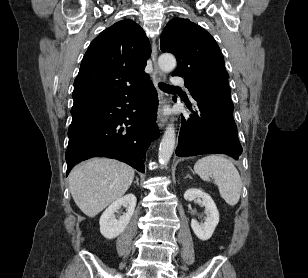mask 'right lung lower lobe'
Listing matches in <instances>:
<instances>
[{"label":"right lung lower lobe","instance_id":"obj_1","mask_svg":"<svg viewBox=\"0 0 308 278\" xmlns=\"http://www.w3.org/2000/svg\"><path fill=\"white\" fill-rule=\"evenodd\" d=\"M157 106V91L148 79L125 97L71 113L66 175L76 163L96 156L117 159L144 172L146 149L159 137Z\"/></svg>","mask_w":308,"mask_h":278}]
</instances>
